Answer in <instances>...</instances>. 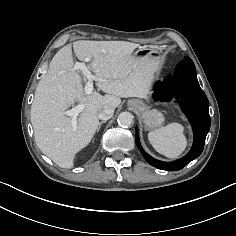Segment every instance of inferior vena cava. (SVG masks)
<instances>
[{"label": "inferior vena cava", "instance_id": "inferior-vena-cava-1", "mask_svg": "<svg viewBox=\"0 0 236 236\" xmlns=\"http://www.w3.org/2000/svg\"><path fill=\"white\" fill-rule=\"evenodd\" d=\"M114 108L110 106H104L98 113V118L100 120H108L113 116Z\"/></svg>", "mask_w": 236, "mask_h": 236}]
</instances>
